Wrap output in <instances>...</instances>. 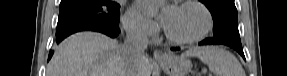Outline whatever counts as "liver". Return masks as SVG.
Here are the masks:
<instances>
[{"label": "liver", "mask_w": 287, "mask_h": 76, "mask_svg": "<svg viewBox=\"0 0 287 76\" xmlns=\"http://www.w3.org/2000/svg\"><path fill=\"white\" fill-rule=\"evenodd\" d=\"M153 62L146 57L136 67L137 76H150ZM47 76H125L122 45L95 32L75 33L55 49Z\"/></svg>", "instance_id": "liver-1"}]
</instances>
